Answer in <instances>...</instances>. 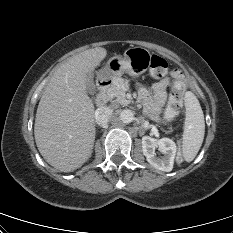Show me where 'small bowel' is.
Here are the masks:
<instances>
[{
	"instance_id": "small-bowel-1",
	"label": "small bowel",
	"mask_w": 233,
	"mask_h": 233,
	"mask_svg": "<svg viewBox=\"0 0 233 233\" xmlns=\"http://www.w3.org/2000/svg\"><path fill=\"white\" fill-rule=\"evenodd\" d=\"M172 79L182 81V72L179 70H174L171 74V78H164L156 82L152 87L151 96H149L146 92H143L145 110L151 117L156 118L164 106L167 99V90L172 85Z\"/></svg>"
}]
</instances>
